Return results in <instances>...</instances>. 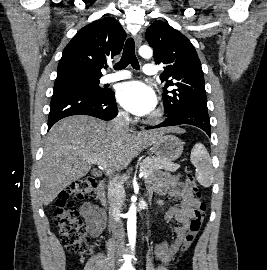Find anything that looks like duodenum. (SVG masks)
I'll return each mask as SVG.
<instances>
[{"instance_id": "obj_1", "label": "duodenum", "mask_w": 267, "mask_h": 270, "mask_svg": "<svg viewBox=\"0 0 267 270\" xmlns=\"http://www.w3.org/2000/svg\"><path fill=\"white\" fill-rule=\"evenodd\" d=\"M97 197L98 199L103 203V204H107L108 200H107V196H106V183L104 180L100 181L98 183L97 186ZM111 218L113 220H116V218L118 217V211L116 210H111V214H110Z\"/></svg>"}]
</instances>
